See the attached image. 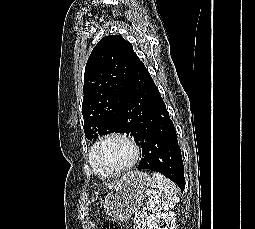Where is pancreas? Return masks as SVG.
Segmentation results:
<instances>
[{
    "label": "pancreas",
    "mask_w": 255,
    "mask_h": 229,
    "mask_svg": "<svg viewBox=\"0 0 255 229\" xmlns=\"http://www.w3.org/2000/svg\"><path fill=\"white\" fill-rule=\"evenodd\" d=\"M145 218V214L143 212H137L133 219L134 221V229H141V224L143 223Z\"/></svg>",
    "instance_id": "pancreas-1"
}]
</instances>
